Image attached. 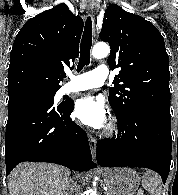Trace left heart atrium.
Here are the masks:
<instances>
[{"label": "left heart atrium", "mask_w": 178, "mask_h": 195, "mask_svg": "<svg viewBox=\"0 0 178 195\" xmlns=\"http://www.w3.org/2000/svg\"><path fill=\"white\" fill-rule=\"evenodd\" d=\"M74 114L82 124L95 129L101 128L107 119L104 103L91 95L76 100Z\"/></svg>", "instance_id": "1"}]
</instances>
